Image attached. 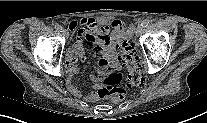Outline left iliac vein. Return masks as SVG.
I'll return each mask as SVG.
<instances>
[{
    "instance_id": "1",
    "label": "left iliac vein",
    "mask_w": 207,
    "mask_h": 123,
    "mask_svg": "<svg viewBox=\"0 0 207 123\" xmlns=\"http://www.w3.org/2000/svg\"><path fill=\"white\" fill-rule=\"evenodd\" d=\"M142 31H143V26L141 24H139L138 27L136 28V31H135L136 36L137 37L140 36Z\"/></svg>"
}]
</instances>
